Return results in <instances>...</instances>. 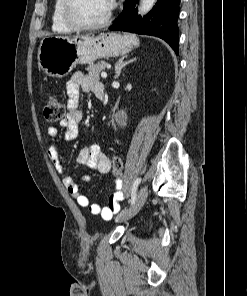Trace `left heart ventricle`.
Listing matches in <instances>:
<instances>
[{
    "instance_id": "obj_1",
    "label": "left heart ventricle",
    "mask_w": 247,
    "mask_h": 296,
    "mask_svg": "<svg viewBox=\"0 0 247 296\" xmlns=\"http://www.w3.org/2000/svg\"><path fill=\"white\" fill-rule=\"evenodd\" d=\"M110 11L108 0H78L75 15L84 24L103 21Z\"/></svg>"
}]
</instances>
